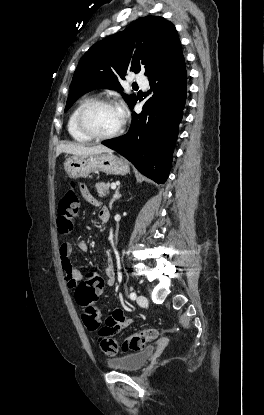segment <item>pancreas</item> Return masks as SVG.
Returning a JSON list of instances; mask_svg holds the SVG:
<instances>
[{
	"label": "pancreas",
	"instance_id": "pancreas-1",
	"mask_svg": "<svg viewBox=\"0 0 264 415\" xmlns=\"http://www.w3.org/2000/svg\"><path fill=\"white\" fill-rule=\"evenodd\" d=\"M110 189V183L99 182L96 184V190L98 192L99 197H104L108 194Z\"/></svg>",
	"mask_w": 264,
	"mask_h": 415
}]
</instances>
